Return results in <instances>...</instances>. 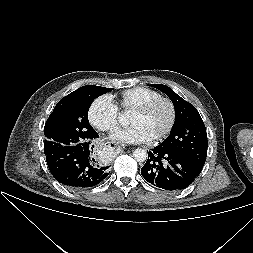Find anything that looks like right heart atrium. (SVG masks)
<instances>
[{
  "instance_id": "d8ad5b80",
  "label": "right heart atrium",
  "mask_w": 253,
  "mask_h": 253,
  "mask_svg": "<svg viewBox=\"0 0 253 253\" xmlns=\"http://www.w3.org/2000/svg\"><path fill=\"white\" fill-rule=\"evenodd\" d=\"M119 116V107L108 94L95 98L88 111L91 124L103 132L114 131L118 126Z\"/></svg>"
}]
</instances>
